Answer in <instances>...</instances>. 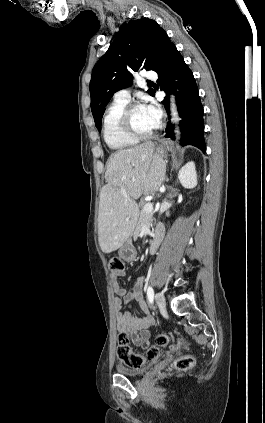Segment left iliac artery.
Returning <instances> with one entry per match:
<instances>
[{
  "mask_svg": "<svg viewBox=\"0 0 265 423\" xmlns=\"http://www.w3.org/2000/svg\"><path fill=\"white\" fill-rule=\"evenodd\" d=\"M147 298H148L149 303L152 304L153 303V299H154V290H153V288L151 286H149L147 288Z\"/></svg>",
  "mask_w": 265,
  "mask_h": 423,
  "instance_id": "left-iliac-artery-1",
  "label": "left iliac artery"
}]
</instances>
